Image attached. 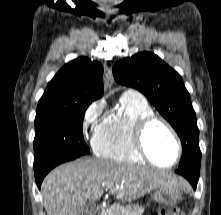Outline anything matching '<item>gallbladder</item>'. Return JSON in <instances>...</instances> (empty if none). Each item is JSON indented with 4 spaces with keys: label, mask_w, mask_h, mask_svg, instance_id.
I'll use <instances>...</instances> for the list:
<instances>
[{
    "label": "gallbladder",
    "mask_w": 221,
    "mask_h": 215,
    "mask_svg": "<svg viewBox=\"0 0 221 215\" xmlns=\"http://www.w3.org/2000/svg\"><path fill=\"white\" fill-rule=\"evenodd\" d=\"M94 209H95L94 204L92 202H89L85 205L84 211L82 212L81 215H93Z\"/></svg>",
    "instance_id": "1"
}]
</instances>
